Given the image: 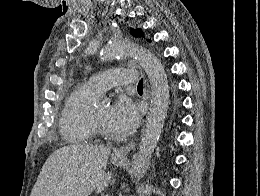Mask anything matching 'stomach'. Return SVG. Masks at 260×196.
I'll use <instances>...</instances> for the list:
<instances>
[{
  "instance_id": "1",
  "label": "stomach",
  "mask_w": 260,
  "mask_h": 196,
  "mask_svg": "<svg viewBox=\"0 0 260 196\" xmlns=\"http://www.w3.org/2000/svg\"><path fill=\"white\" fill-rule=\"evenodd\" d=\"M112 164H115V166H122L126 160H114V158H111Z\"/></svg>"
}]
</instances>
